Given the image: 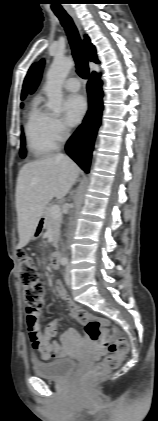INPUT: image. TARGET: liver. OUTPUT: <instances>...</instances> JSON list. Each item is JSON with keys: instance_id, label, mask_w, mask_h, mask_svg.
I'll list each match as a JSON object with an SVG mask.
<instances>
[{"instance_id": "liver-1", "label": "liver", "mask_w": 158, "mask_h": 421, "mask_svg": "<svg viewBox=\"0 0 158 421\" xmlns=\"http://www.w3.org/2000/svg\"><path fill=\"white\" fill-rule=\"evenodd\" d=\"M79 167L68 156L54 155L29 162L19 171L16 185V209L19 244H28L47 204L62 199L71 189Z\"/></svg>"}]
</instances>
